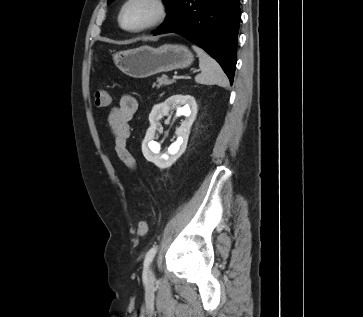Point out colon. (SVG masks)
Wrapping results in <instances>:
<instances>
[{
  "instance_id": "colon-1",
  "label": "colon",
  "mask_w": 363,
  "mask_h": 317,
  "mask_svg": "<svg viewBox=\"0 0 363 317\" xmlns=\"http://www.w3.org/2000/svg\"><path fill=\"white\" fill-rule=\"evenodd\" d=\"M111 102L110 94L107 90H98L94 95V104L98 108L107 107ZM147 231V223L141 220L137 226V233L142 235Z\"/></svg>"
}]
</instances>
